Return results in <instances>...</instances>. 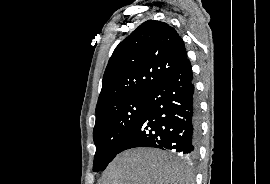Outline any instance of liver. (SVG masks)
Returning a JSON list of instances; mask_svg holds the SVG:
<instances>
[{
    "instance_id": "1",
    "label": "liver",
    "mask_w": 270,
    "mask_h": 184,
    "mask_svg": "<svg viewBox=\"0 0 270 184\" xmlns=\"http://www.w3.org/2000/svg\"><path fill=\"white\" fill-rule=\"evenodd\" d=\"M99 184H191V172L165 152L136 148L117 155Z\"/></svg>"
}]
</instances>
